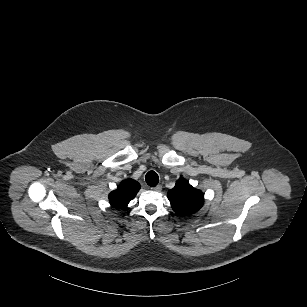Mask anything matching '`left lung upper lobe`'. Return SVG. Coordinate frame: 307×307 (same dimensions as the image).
<instances>
[{
  "label": "left lung upper lobe",
  "mask_w": 307,
  "mask_h": 307,
  "mask_svg": "<svg viewBox=\"0 0 307 307\" xmlns=\"http://www.w3.org/2000/svg\"><path fill=\"white\" fill-rule=\"evenodd\" d=\"M172 209L179 215L197 212L204 203L202 191L195 189L184 178H179L173 189L167 193Z\"/></svg>",
  "instance_id": "1"
}]
</instances>
